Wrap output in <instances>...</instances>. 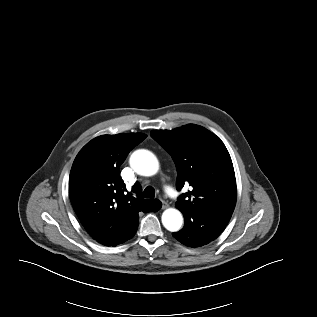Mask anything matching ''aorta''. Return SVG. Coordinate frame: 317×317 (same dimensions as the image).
I'll list each match as a JSON object with an SVG mask.
<instances>
[{
    "instance_id": "1",
    "label": "aorta",
    "mask_w": 317,
    "mask_h": 317,
    "mask_svg": "<svg viewBox=\"0 0 317 317\" xmlns=\"http://www.w3.org/2000/svg\"><path fill=\"white\" fill-rule=\"evenodd\" d=\"M129 163L131 168L139 175L153 176L157 173L159 163L156 156L148 150H137L132 153ZM183 223V217L179 210L168 208L162 214L163 226L171 231H178Z\"/></svg>"
}]
</instances>
